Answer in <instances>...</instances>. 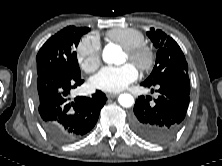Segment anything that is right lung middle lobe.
Here are the masks:
<instances>
[{
  "mask_svg": "<svg viewBox=\"0 0 222 166\" xmlns=\"http://www.w3.org/2000/svg\"><path fill=\"white\" fill-rule=\"evenodd\" d=\"M89 31L87 27L69 26L49 38L36 56L37 75L51 69L81 75L75 48L81 36Z\"/></svg>",
  "mask_w": 222,
  "mask_h": 166,
  "instance_id": "dd1d6c3e",
  "label": "right lung middle lobe"
}]
</instances>
